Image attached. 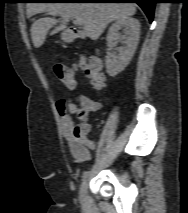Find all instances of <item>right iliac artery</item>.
Returning a JSON list of instances; mask_svg holds the SVG:
<instances>
[{"label":"right iliac artery","instance_id":"right-iliac-artery-1","mask_svg":"<svg viewBox=\"0 0 188 213\" xmlns=\"http://www.w3.org/2000/svg\"><path fill=\"white\" fill-rule=\"evenodd\" d=\"M88 174H89L88 171L84 172L83 176H82V180H85L87 178Z\"/></svg>","mask_w":188,"mask_h":213}]
</instances>
